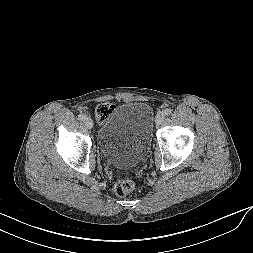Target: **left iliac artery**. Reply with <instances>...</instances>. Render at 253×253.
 <instances>
[{"mask_svg": "<svg viewBox=\"0 0 253 253\" xmlns=\"http://www.w3.org/2000/svg\"><path fill=\"white\" fill-rule=\"evenodd\" d=\"M165 115H170L172 113V109L170 108H167L165 111H164Z\"/></svg>", "mask_w": 253, "mask_h": 253, "instance_id": "44dca946", "label": "left iliac artery"}]
</instances>
